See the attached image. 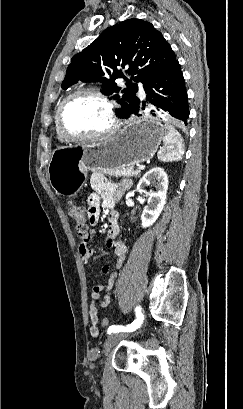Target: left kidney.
I'll return each instance as SVG.
<instances>
[{"label": "left kidney", "mask_w": 243, "mask_h": 409, "mask_svg": "<svg viewBox=\"0 0 243 409\" xmlns=\"http://www.w3.org/2000/svg\"><path fill=\"white\" fill-rule=\"evenodd\" d=\"M150 184L155 185L156 191L147 193V206L141 215L143 228L153 225L164 208L168 190V176L166 172L160 167H155L146 172L137 185V191L145 193V187Z\"/></svg>", "instance_id": "5707ae66"}]
</instances>
